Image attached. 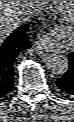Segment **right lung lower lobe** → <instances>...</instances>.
Returning a JSON list of instances; mask_svg holds the SVG:
<instances>
[{"mask_svg":"<svg viewBox=\"0 0 74 122\" xmlns=\"http://www.w3.org/2000/svg\"><path fill=\"white\" fill-rule=\"evenodd\" d=\"M29 25H23L14 30L10 36L0 44V98L7 95L13 87V63L23 50L31 47L27 41L26 31Z\"/></svg>","mask_w":74,"mask_h":122,"instance_id":"obj_1","label":"right lung lower lobe"}]
</instances>
